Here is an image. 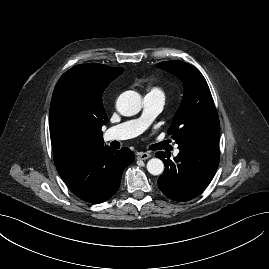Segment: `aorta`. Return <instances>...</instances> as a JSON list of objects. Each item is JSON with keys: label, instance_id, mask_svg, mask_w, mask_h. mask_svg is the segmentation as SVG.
I'll list each match as a JSON object with an SVG mask.
<instances>
[{"label": "aorta", "instance_id": "1", "mask_svg": "<svg viewBox=\"0 0 269 269\" xmlns=\"http://www.w3.org/2000/svg\"><path fill=\"white\" fill-rule=\"evenodd\" d=\"M116 107L123 116L136 115L142 108V98L135 91H125L118 97ZM147 170L152 175H160L164 171V163L152 158L147 162Z\"/></svg>", "mask_w": 269, "mask_h": 269}]
</instances>
